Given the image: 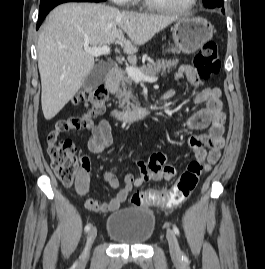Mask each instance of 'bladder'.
Returning <instances> with one entry per match:
<instances>
[{"mask_svg":"<svg viewBox=\"0 0 265 269\" xmlns=\"http://www.w3.org/2000/svg\"><path fill=\"white\" fill-rule=\"evenodd\" d=\"M155 230L153 210L139 206H129L114 212L106 223L107 235L118 244L145 245Z\"/></svg>","mask_w":265,"mask_h":269,"instance_id":"bladder-1","label":"bladder"}]
</instances>
